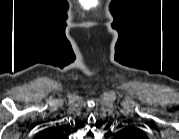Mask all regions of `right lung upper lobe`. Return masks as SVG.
I'll return each mask as SVG.
<instances>
[{"label":"right lung upper lobe","mask_w":179,"mask_h":139,"mask_svg":"<svg viewBox=\"0 0 179 139\" xmlns=\"http://www.w3.org/2000/svg\"><path fill=\"white\" fill-rule=\"evenodd\" d=\"M64 136L63 133L61 132L59 127H51L48 129H45L39 134V137H44V136Z\"/></svg>","instance_id":"obj_1"}]
</instances>
